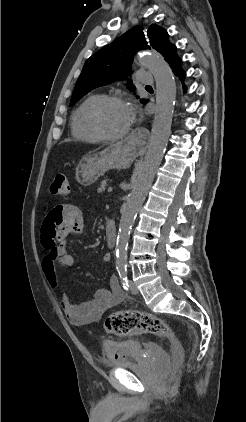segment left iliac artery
<instances>
[{"label": "left iliac artery", "instance_id": "44dca946", "mask_svg": "<svg viewBox=\"0 0 246 422\" xmlns=\"http://www.w3.org/2000/svg\"><path fill=\"white\" fill-rule=\"evenodd\" d=\"M120 279H121V284L123 286V288L125 290L129 289V284H128V279H127V270L126 269H120L118 271Z\"/></svg>", "mask_w": 246, "mask_h": 422}]
</instances>
